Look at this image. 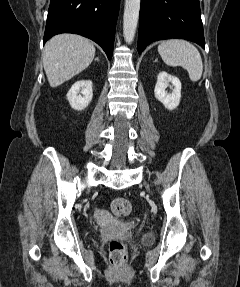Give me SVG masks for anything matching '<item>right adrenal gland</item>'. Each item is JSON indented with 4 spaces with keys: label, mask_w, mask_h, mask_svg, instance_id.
<instances>
[{
    "label": "right adrenal gland",
    "mask_w": 240,
    "mask_h": 287,
    "mask_svg": "<svg viewBox=\"0 0 240 287\" xmlns=\"http://www.w3.org/2000/svg\"><path fill=\"white\" fill-rule=\"evenodd\" d=\"M95 61H99V58L97 57V58L95 59Z\"/></svg>",
    "instance_id": "right-adrenal-gland-1"
}]
</instances>
